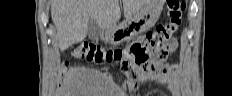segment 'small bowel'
Returning <instances> with one entry per match:
<instances>
[{
    "mask_svg": "<svg viewBox=\"0 0 232 96\" xmlns=\"http://www.w3.org/2000/svg\"><path fill=\"white\" fill-rule=\"evenodd\" d=\"M145 37H139L135 44H141L144 42ZM177 47V42L172 41L167 44V48L170 51H174ZM156 82L165 85L169 90L170 94L173 96H179L181 93L180 80L178 75V68L175 66H161V71L157 73L146 72L140 74L137 78L128 79V84L132 88V93L130 96H139V93H135L134 87L137 83H148Z\"/></svg>",
    "mask_w": 232,
    "mask_h": 96,
    "instance_id": "obj_1",
    "label": "small bowel"
}]
</instances>
